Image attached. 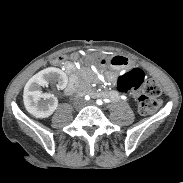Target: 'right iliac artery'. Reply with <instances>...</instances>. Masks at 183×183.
Here are the masks:
<instances>
[{
  "label": "right iliac artery",
  "instance_id": "1",
  "mask_svg": "<svg viewBox=\"0 0 183 183\" xmlns=\"http://www.w3.org/2000/svg\"><path fill=\"white\" fill-rule=\"evenodd\" d=\"M90 97L88 95L85 96V100H89Z\"/></svg>",
  "mask_w": 183,
  "mask_h": 183
}]
</instances>
